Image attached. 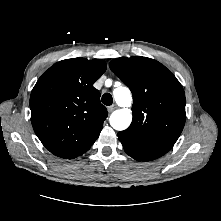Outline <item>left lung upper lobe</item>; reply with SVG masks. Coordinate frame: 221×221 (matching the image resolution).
I'll use <instances>...</instances> for the list:
<instances>
[{
  "instance_id": "left-lung-upper-lobe-1",
  "label": "left lung upper lobe",
  "mask_w": 221,
  "mask_h": 221,
  "mask_svg": "<svg viewBox=\"0 0 221 221\" xmlns=\"http://www.w3.org/2000/svg\"><path fill=\"white\" fill-rule=\"evenodd\" d=\"M132 94L133 120L118 133L129 148L157 159L179 138L185 124V94L176 77L156 60L132 56L116 58L109 64Z\"/></svg>"
}]
</instances>
